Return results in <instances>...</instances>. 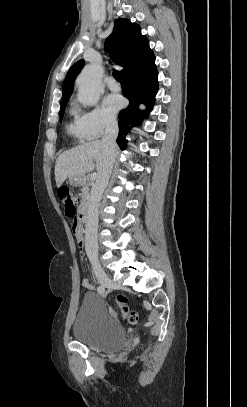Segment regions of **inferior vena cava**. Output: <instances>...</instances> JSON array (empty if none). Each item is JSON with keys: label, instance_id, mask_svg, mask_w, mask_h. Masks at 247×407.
<instances>
[{"label": "inferior vena cava", "instance_id": "1", "mask_svg": "<svg viewBox=\"0 0 247 407\" xmlns=\"http://www.w3.org/2000/svg\"><path fill=\"white\" fill-rule=\"evenodd\" d=\"M117 135V122L115 120L107 121L104 136L102 137L101 142L107 149L109 157L102 173L97 177V180L92 187L86 221L85 251L92 264L98 263V205L108 184L113 169L115 153L117 149Z\"/></svg>", "mask_w": 247, "mask_h": 407}]
</instances>
